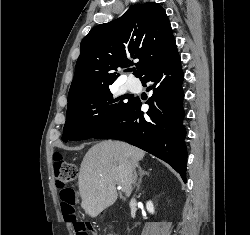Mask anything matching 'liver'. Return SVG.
I'll return each mask as SVG.
<instances>
[{
	"mask_svg": "<svg viewBox=\"0 0 250 235\" xmlns=\"http://www.w3.org/2000/svg\"><path fill=\"white\" fill-rule=\"evenodd\" d=\"M144 156L143 150L124 142L102 141L91 147L78 176L85 213L94 218L113 205L117 200L116 185L130 196L132 171Z\"/></svg>",
	"mask_w": 250,
	"mask_h": 235,
	"instance_id": "obj_1",
	"label": "liver"
}]
</instances>
